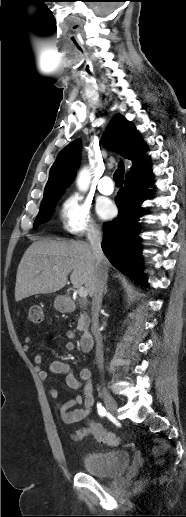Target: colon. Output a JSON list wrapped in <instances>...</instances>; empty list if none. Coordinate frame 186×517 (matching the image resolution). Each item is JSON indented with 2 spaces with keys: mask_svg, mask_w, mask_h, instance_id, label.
<instances>
[{
  "mask_svg": "<svg viewBox=\"0 0 186 517\" xmlns=\"http://www.w3.org/2000/svg\"><path fill=\"white\" fill-rule=\"evenodd\" d=\"M28 318L33 324H40L43 321V309L38 304L29 307ZM98 440L108 446L114 447L119 443V439L112 433L100 429L98 432ZM155 453L160 455V449H155Z\"/></svg>",
  "mask_w": 186,
  "mask_h": 517,
  "instance_id": "5ec220e1",
  "label": "colon"
}]
</instances>
